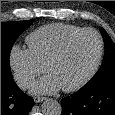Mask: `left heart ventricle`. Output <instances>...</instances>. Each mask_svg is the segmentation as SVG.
Listing matches in <instances>:
<instances>
[{
    "label": "left heart ventricle",
    "mask_w": 115,
    "mask_h": 115,
    "mask_svg": "<svg viewBox=\"0 0 115 115\" xmlns=\"http://www.w3.org/2000/svg\"><path fill=\"white\" fill-rule=\"evenodd\" d=\"M99 43L94 34L88 33L77 38L64 56L52 64L47 73L62 87L74 85L83 79L93 67L98 55Z\"/></svg>",
    "instance_id": "1"
}]
</instances>
